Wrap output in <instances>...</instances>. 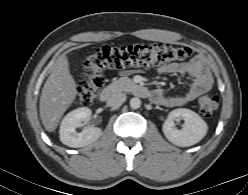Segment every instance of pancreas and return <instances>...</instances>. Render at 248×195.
Here are the masks:
<instances>
[{
  "label": "pancreas",
  "mask_w": 248,
  "mask_h": 195,
  "mask_svg": "<svg viewBox=\"0 0 248 195\" xmlns=\"http://www.w3.org/2000/svg\"><path fill=\"white\" fill-rule=\"evenodd\" d=\"M110 86L116 90L129 92L135 87V84L128 77H121L114 80Z\"/></svg>",
  "instance_id": "cf45deb5"
}]
</instances>
